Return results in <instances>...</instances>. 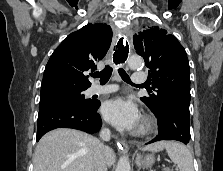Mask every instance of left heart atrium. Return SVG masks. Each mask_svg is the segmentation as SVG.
I'll use <instances>...</instances> for the list:
<instances>
[{
  "instance_id": "1",
  "label": "left heart atrium",
  "mask_w": 223,
  "mask_h": 171,
  "mask_svg": "<svg viewBox=\"0 0 223 171\" xmlns=\"http://www.w3.org/2000/svg\"><path fill=\"white\" fill-rule=\"evenodd\" d=\"M103 117L120 130L135 129L140 120L137 106L131 101L119 97L106 101L101 108Z\"/></svg>"
}]
</instances>
